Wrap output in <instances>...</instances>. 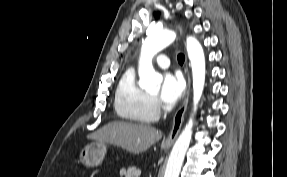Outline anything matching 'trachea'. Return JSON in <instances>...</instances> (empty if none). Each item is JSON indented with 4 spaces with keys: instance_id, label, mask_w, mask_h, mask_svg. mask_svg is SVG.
I'll list each match as a JSON object with an SVG mask.
<instances>
[{
    "instance_id": "obj_1",
    "label": "trachea",
    "mask_w": 287,
    "mask_h": 177,
    "mask_svg": "<svg viewBox=\"0 0 287 177\" xmlns=\"http://www.w3.org/2000/svg\"><path fill=\"white\" fill-rule=\"evenodd\" d=\"M177 59L180 64H183L185 61V56L182 53H180L178 54Z\"/></svg>"
}]
</instances>
